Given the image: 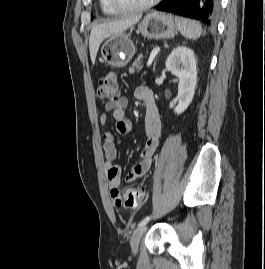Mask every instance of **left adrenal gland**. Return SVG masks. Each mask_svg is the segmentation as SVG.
I'll use <instances>...</instances> for the list:
<instances>
[{
  "label": "left adrenal gland",
  "mask_w": 265,
  "mask_h": 269,
  "mask_svg": "<svg viewBox=\"0 0 265 269\" xmlns=\"http://www.w3.org/2000/svg\"><path fill=\"white\" fill-rule=\"evenodd\" d=\"M155 64H156V63H154V67H153V70H155Z\"/></svg>",
  "instance_id": "obj_1"
}]
</instances>
